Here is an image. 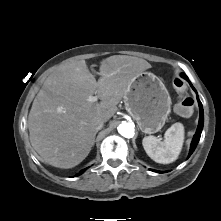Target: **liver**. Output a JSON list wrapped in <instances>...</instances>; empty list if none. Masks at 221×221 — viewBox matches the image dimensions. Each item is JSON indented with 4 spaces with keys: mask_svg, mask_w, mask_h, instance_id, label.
I'll list each match as a JSON object with an SVG mask.
<instances>
[{
    "mask_svg": "<svg viewBox=\"0 0 221 221\" xmlns=\"http://www.w3.org/2000/svg\"><path fill=\"white\" fill-rule=\"evenodd\" d=\"M149 68L151 65L144 59L113 55L101 62L98 81L85 60L50 75L28 116L30 142L41 160L64 169L81 163L93 146L91 122H107L131 82ZM94 94L101 100L99 103L88 101Z\"/></svg>",
    "mask_w": 221,
    "mask_h": 221,
    "instance_id": "1",
    "label": "liver"
}]
</instances>
